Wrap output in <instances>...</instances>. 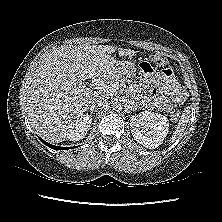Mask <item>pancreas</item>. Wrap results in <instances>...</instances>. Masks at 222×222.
<instances>
[{
	"instance_id": "pancreas-1",
	"label": "pancreas",
	"mask_w": 222,
	"mask_h": 222,
	"mask_svg": "<svg viewBox=\"0 0 222 222\" xmlns=\"http://www.w3.org/2000/svg\"><path fill=\"white\" fill-rule=\"evenodd\" d=\"M124 82L123 77L116 73V74H112L110 76L107 77L106 81H105V85H116V86H120L122 83ZM110 94H114L109 92Z\"/></svg>"
}]
</instances>
